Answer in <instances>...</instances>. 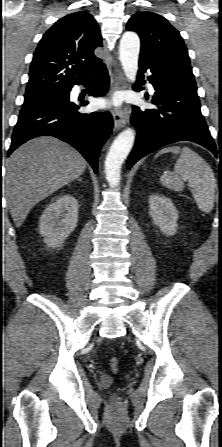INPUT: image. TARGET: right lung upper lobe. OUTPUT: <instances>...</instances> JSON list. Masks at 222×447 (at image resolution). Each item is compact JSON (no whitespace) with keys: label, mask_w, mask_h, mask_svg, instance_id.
<instances>
[{"label":"right lung upper lobe","mask_w":222,"mask_h":447,"mask_svg":"<svg viewBox=\"0 0 222 447\" xmlns=\"http://www.w3.org/2000/svg\"><path fill=\"white\" fill-rule=\"evenodd\" d=\"M102 46L99 26L85 11L58 20L42 37L30 66L25 96L69 91L103 63L94 55Z\"/></svg>","instance_id":"obj_1"}]
</instances>
